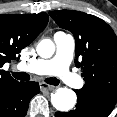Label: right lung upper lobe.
Instances as JSON below:
<instances>
[{
	"mask_svg": "<svg viewBox=\"0 0 117 117\" xmlns=\"http://www.w3.org/2000/svg\"><path fill=\"white\" fill-rule=\"evenodd\" d=\"M48 20L46 13L0 14V96L19 83L2 69L3 65L16 59L44 30Z\"/></svg>",
	"mask_w": 117,
	"mask_h": 117,
	"instance_id": "1",
	"label": "right lung upper lobe"
}]
</instances>
